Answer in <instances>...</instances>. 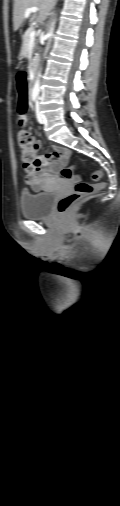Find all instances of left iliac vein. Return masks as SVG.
I'll use <instances>...</instances> for the list:
<instances>
[{"instance_id":"obj_1","label":"left iliac vein","mask_w":120,"mask_h":506,"mask_svg":"<svg viewBox=\"0 0 120 506\" xmlns=\"http://www.w3.org/2000/svg\"><path fill=\"white\" fill-rule=\"evenodd\" d=\"M35 111H36V117H37L38 122L41 124L45 123V118H44L43 114L41 113L39 102L36 103Z\"/></svg>"}]
</instances>
